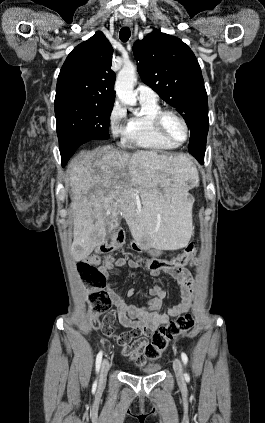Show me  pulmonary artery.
I'll return each instance as SVG.
<instances>
[{"label": "pulmonary artery", "mask_w": 265, "mask_h": 423, "mask_svg": "<svg viewBox=\"0 0 265 423\" xmlns=\"http://www.w3.org/2000/svg\"><path fill=\"white\" fill-rule=\"evenodd\" d=\"M136 92L140 101H157L156 92L146 85H139Z\"/></svg>", "instance_id": "1"}]
</instances>
